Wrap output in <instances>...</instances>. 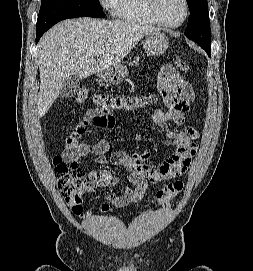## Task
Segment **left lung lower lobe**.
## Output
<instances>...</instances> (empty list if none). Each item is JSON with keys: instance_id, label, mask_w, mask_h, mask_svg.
Here are the masks:
<instances>
[{"instance_id": "0a47b994", "label": "left lung lower lobe", "mask_w": 253, "mask_h": 271, "mask_svg": "<svg viewBox=\"0 0 253 271\" xmlns=\"http://www.w3.org/2000/svg\"><path fill=\"white\" fill-rule=\"evenodd\" d=\"M210 47H204L203 48L207 52L208 56H211V49H210Z\"/></svg>"}]
</instances>
